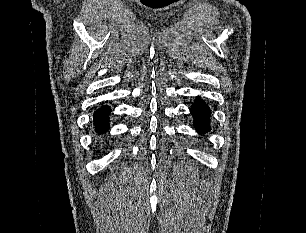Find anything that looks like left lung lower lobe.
Here are the masks:
<instances>
[{"label": "left lung lower lobe", "mask_w": 306, "mask_h": 233, "mask_svg": "<svg viewBox=\"0 0 306 233\" xmlns=\"http://www.w3.org/2000/svg\"><path fill=\"white\" fill-rule=\"evenodd\" d=\"M191 113L194 117V127L200 133L210 131V109L199 99L191 107Z\"/></svg>", "instance_id": "obj_1"}]
</instances>
